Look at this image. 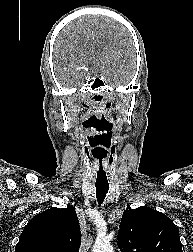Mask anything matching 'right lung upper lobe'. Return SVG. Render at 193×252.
<instances>
[{"label":"right lung upper lobe","mask_w":193,"mask_h":252,"mask_svg":"<svg viewBox=\"0 0 193 252\" xmlns=\"http://www.w3.org/2000/svg\"><path fill=\"white\" fill-rule=\"evenodd\" d=\"M80 240L75 208H51L24 227L15 252H79Z\"/></svg>","instance_id":"obj_1"}]
</instances>
